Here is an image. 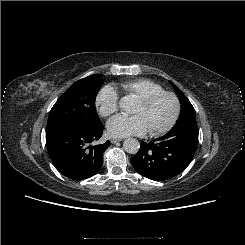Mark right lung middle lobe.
Segmentation results:
<instances>
[{
    "label": "right lung middle lobe",
    "mask_w": 245,
    "mask_h": 245,
    "mask_svg": "<svg viewBox=\"0 0 245 245\" xmlns=\"http://www.w3.org/2000/svg\"><path fill=\"white\" fill-rule=\"evenodd\" d=\"M101 75H91L71 85L52 107L47 128L71 125L86 129L102 127L96 109V95L103 84Z\"/></svg>",
    "instance_id": "obj_1"
}]
</instances>
